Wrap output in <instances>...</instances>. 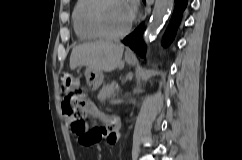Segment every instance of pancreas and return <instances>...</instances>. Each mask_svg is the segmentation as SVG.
Instances as JSON below:
<instances>
[{"label":"pancreas","instance_id":"cf45deb5","mask_svg":"<svg viewBox=\"0 0 242 160\" xmlns=\"http://www.w3.org/2000/svg\"><path fill=\"white\" fill-rule=\"evenodd\" d=\"M120 88L116 82H112L103 86L98 94V99L101 102H105L107 99H112L115 96L116 92H119Z\"/></svg>","mask_w":242,"mask_h":160}]
</instances>
